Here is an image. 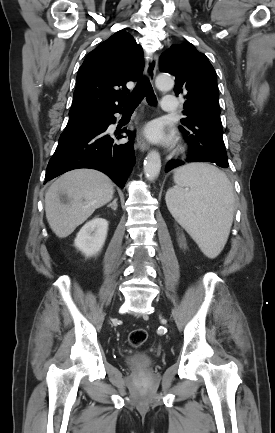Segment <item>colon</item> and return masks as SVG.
I'll return each mask as SVG.
<instances>
[{"label": "colon", "instance_id": "obj_1", "mask_svg": "<svg viewBox=\"0 0 275 433\" xmlns=\"http://www.w3.org/2000/svg\"><path fill=\"white\" fill-rule=\"evenodd\" d=\"M147 337V331L143 328H138L129 334L128 341L131 347L139 348L146 342Z\"/></svg>", "mask_w": 275, "mask_h": 433}]
</instances>
